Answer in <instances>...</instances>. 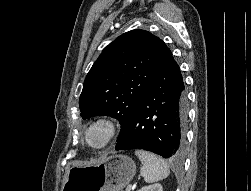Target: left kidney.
I'll return each instance as SVG.
<instances>
[{
    "label": "left kidney",
    "instance_id": "5707ae66",
    "mask_svg": "<svg viewBox=\"0 0 251 191\" xmlns=\"http://www.w3.org/2000/svg\"><path fill=\"white\" fill-rule=\"evenodd\" d=\"M138 191H163L161 183H152V185H144Z\"/></svg>",
    "mask_w": 251,
    "mask_h": 191
}]
</instances>
